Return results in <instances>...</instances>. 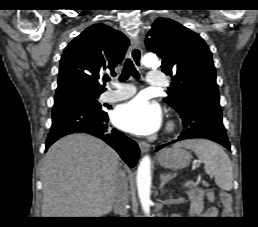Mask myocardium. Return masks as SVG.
Returning <instances> with one entry per match:
<instances>
[{
	"label": "myocardium",
	"mask_w": 258,
	"mask_h": 227,
	"mask_svg": "<svg viewBox=\"0 0 258 227\" xmlns=\"http://www.w3.org/2000/svg\"><path fill=\"white\" fill-rule=\"evenodd\" d=\"M174 128H175L174 123H169L168 124V127H167L168 131H172Z\"/></svg>",
	"instance_id": "1"
}]
</instances>
